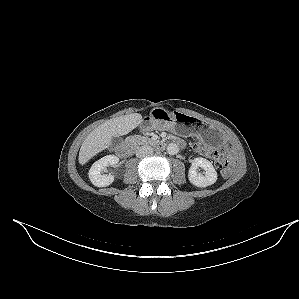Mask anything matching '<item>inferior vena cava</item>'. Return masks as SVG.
Here are the masks:
<instances>
[{"instance_id":"inferior-vena-cava-1","label":"inferior vena cava","mask_w":299,"mask_h":299,"mask_svg":"<svg viewBox=\"0 0 299 299\" xmlns=\"http://www.w3.org/2000/svg\"><path fill=\"white\" fill-rule=\"evenodd\" d=\"M153 153V148L149 145H143L137 148L136 156L141 158Z\"/></svg>"}]
</instances>
